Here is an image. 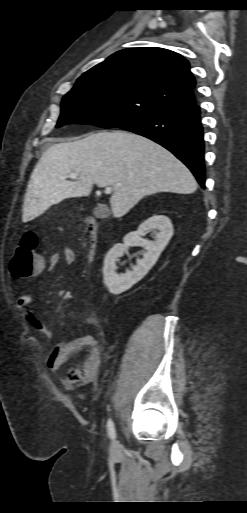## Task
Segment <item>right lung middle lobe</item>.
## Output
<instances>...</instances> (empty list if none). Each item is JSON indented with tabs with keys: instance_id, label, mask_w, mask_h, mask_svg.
Instances as JSON below:
<instances>
[{
	"instance_id": "right-lung-middle-lobe-1",
	"label": "right lung middle lobe",
	"mask_w": 247,
	"mask_h": 513,
	"mask_svg": "<svg viewBox=\"0 0 247 513\" xmlns=\"http://www.w3.org/2000/svg\"><path fill=\"white\" fill-rule=\"evenodd\" d=\"M166 109L165 104L137 92L107 87L83 89L75 84L62 99L56 127L78 123L120 128Z\"/></svg>"
}]
</instances>
